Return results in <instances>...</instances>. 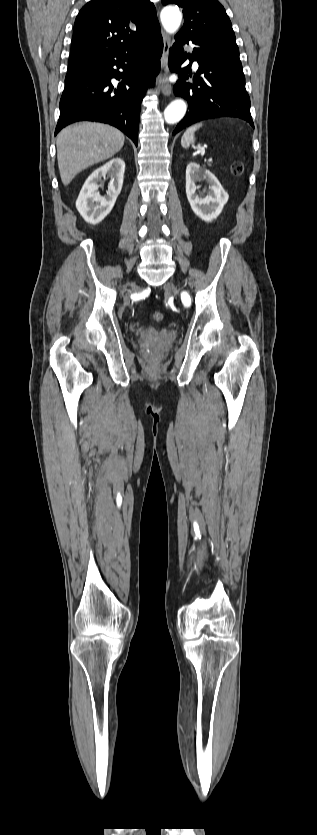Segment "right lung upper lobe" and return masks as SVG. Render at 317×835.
Returning a JSON list of instances; mask_svg holds the SVG:
<instances>
[{
    "instance_id": "cb5924a9",
    "label": "right lung upper lobe",
    "mask_w": 317,
    "mask_h": 835,
    "mask_svg": "<svg viewBox=\"0 0 317 835\" xmlns=\"http://www.w3.org/2000/svg\"><path fill=\"white\" fill-rule=\"evenodd\" d=\"M159 23L149 0H92L74 24L71 53H113L150 37Z\"/></svg>"
}]
</instances>
